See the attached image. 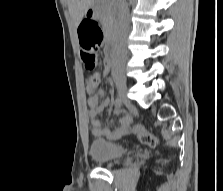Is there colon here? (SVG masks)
<instances>
[{
    "label": "colon",
    "mask_w": 223,
    "mask_h": 191,
    "mask_svg": "<svg viewBox=\"0 0 223 191\" xmlns=\"http://www.w3.org/2000/svg\"><path fill=\"white\" fill-rule=\"evenodd\" d=\"M79 36L82 46L81 58L83 64L86 69L93 70L98 62L97 51L103 40L102 31L99 28H89L87 25H84L80 29ZM88 83L91 86H96L99 83V76L96 72L90 75ZM133 132L142 143L150 147H155L158 144L157 138L145 131L140 125L134 126Z\"/></svg>",
    "instance_id": "colon-1"
}]
</instances>
